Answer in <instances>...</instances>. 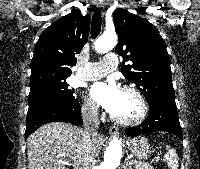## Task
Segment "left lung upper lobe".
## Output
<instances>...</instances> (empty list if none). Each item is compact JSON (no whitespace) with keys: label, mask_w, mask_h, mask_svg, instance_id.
Segmentation results:
<instances>
[{"label":"left lung upper lobe","mask_w":200,"mask_h":169,"mask_svg":"<svg viewBox=\"0 0 200 169\" xmlns=\"http://www.w3.org/2000/svg\"><path fill=\"white\" fill-rule=\"evenodd\" d=\"M119 35L116 52L123 56L122 73L143 93L148 103L175 99L170 58L158 30L147 20L124 9L114 12ZM131 64L125 65V62Z\"/></svg>","instance_id":"obj_1"}]
</instances>
